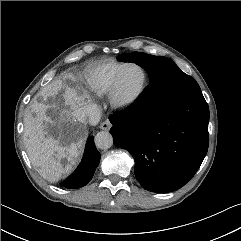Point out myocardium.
<instances>
[{
	"mask_svg": "<svg viewBox=\"0 0 241 241\" xmlns=\"http://www.w3.org/2000/svg\"><path fill=\"white\" fill-rule=\"evenodd\" d=\"M130 67H137L142 71L143 81L135 92H133L129 95H122L120 93L119 87H118L119 79H120L121 75L124 73V71ZM147 83H148V72L142 65H140L138 63H134V62L126 63L116 73V75L114 76V78L112 80L111 87H110V90L108 93L109 102H110L111 106L119 112H127V111L131 110L140 101V99L144 95V92L147 87Z\"/></svg>",
	"mask_w": 241,
	"mask_h": 241,
	"instance_id": "obj_1",
	"label": "myocardium"
}]
</instances>
